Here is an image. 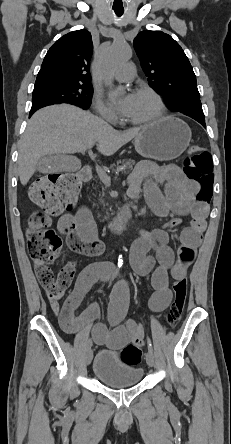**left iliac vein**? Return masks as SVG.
<instances>
[{"mask_svg":"<svg viewBox=\"0 0 231 444\" xmlns=\"http://www.w3.org/2000/svg\"><path fill=\"white\" fill-rule=\"evenodd\" d=\"M146 361H147V364H148L149 366H154L155 358H154L153 351H150V350H149V351L146 353Z\"/></svg>","mask_w":231,"mask_h":444,"instance_id":"obj_1","label":"left iliac vein"}]
</instances>
